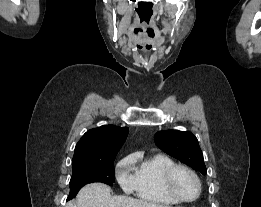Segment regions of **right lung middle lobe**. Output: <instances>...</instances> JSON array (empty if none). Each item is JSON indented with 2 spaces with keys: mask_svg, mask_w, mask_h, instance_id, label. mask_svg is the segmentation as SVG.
Segmentation results:
<instances>
[{
  "mask_svg": "<svg viewBox=\"0 0 261 207\" xmlns=\"http://www.w3.org/2000/svg\"><path fill=\"white\" fill-rule=\"evenodd\" d=\"M114 159L115 157L106 161L83 162L72 165L73 173L67 200L74 198L79 190L89 183L102 182L113 185L115 182Z\"/></svg>",
  "mask_w": 261,
  "mask_h": 207,
  "instance_id": "obj_1",
  "label": "right lung middle lobe"
}]
</instances>
